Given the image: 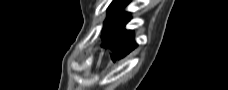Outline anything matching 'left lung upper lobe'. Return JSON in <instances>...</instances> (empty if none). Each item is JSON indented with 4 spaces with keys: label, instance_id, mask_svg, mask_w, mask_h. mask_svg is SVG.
<instances>
[{
    "label": "left lung upper lobe",
    "instance_id": "5c2ea615",
    "mask_svg": "<svg viewBox=\"0 0 228 90\" xmlns=\"http://www.w3.org/2000/svg\"><path fill=\"white\" fill-rule=\"evenodd\" d=\"M128 2V0H114L110 4L108 7V17L104 22V27L102 30L103 33L111 29L116 24L119 14L123 12V8Z\"/></svg>",
    "mask_w": 228,
    "mask_h": 90
}]
</instances>
